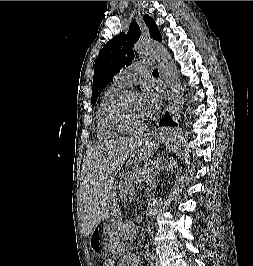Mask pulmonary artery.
<instances>
[{
  "label": "pulmonary artery",
  "mask_w": 253,
  "mask_h": 266,
  "mask_svg": "<svg viewBox=\"0 0 253 266\" xmlns=\"http://www.w3.org/2000/svg\"><path fill=\"white\" fill-rule=\"evenodd\" d=\"M152 65L151 61H138L130 65L126 70L119 73L116 78V82L123 86H130L136 81L141 75H144L150 69Z\"/></svg>",
  "instance_id": "1"
}]
</instances>
